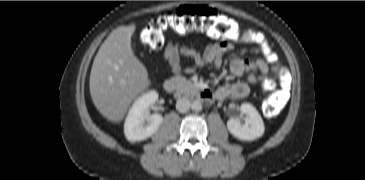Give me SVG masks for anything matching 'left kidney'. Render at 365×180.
<instances>
[{
    "label": "left kidney",
    "mask_w": 365,
    "mask_h": 180,
    "mask_svg": "<svg viewBox=\"0 0 365 180\" xmlns=\"http://www.w3.org/2000/svg\"><path fill=\"white\" fill-rule=\"evenodd\" d=\"M240 112L245 115L244 123L238 118H231L227 122L229 132L240 140H255L262 137L265 131L263 120L254 106L243 103Z\"/></svg>",
    "instance_id": "1"
}]
</instances>
